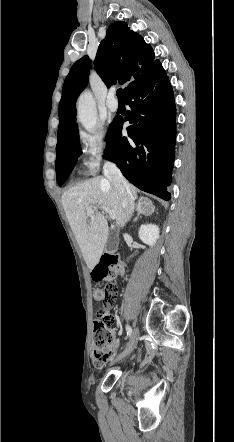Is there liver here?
Listing matches in <instances>:
<instances>
[{"label":"liver","mask_w":234,"mask_h":442,"mask_svg":"<svg viewBox=\"0 0 234 442\" xmlns=\"http://www.w3.org/2000/svg\"><path fill=\"white\" fill-rule=\"evenodd\" d=\"M129 187L134 199L137 198L136 188ZM61 200L87 267L92 270L100 260L109 235L107 220L97 207L105 206L114 211L116 222L122 227L126 223L122 197L108 177L98 176L71 187ZM89 206H93L91 215L86 212Z\"/></svg>","instance_id":"obj_1"}]
</instances>
